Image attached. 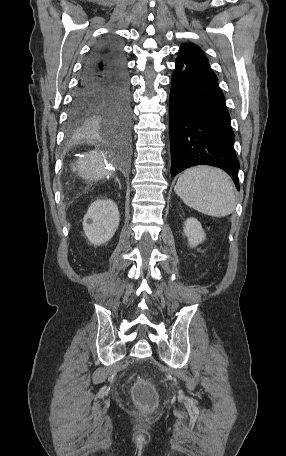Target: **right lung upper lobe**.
Segmentation results:
<instances>
[{"mask_svg":"<svg viewBox=\"0 0 286 456\" xmlns=\"http://www.w3.org/2000/svg\"><path fill=\"white\" fill-rule=\"evenodd\" d=\"M100 59L106 58L110 61L121 60L119 50L117 47L111 43H103L99 47Z\"/></svg>","mask_w":286,"mask_h":456,"instance_id":"1","label":"right lung upper lobe"}]
</instances>
